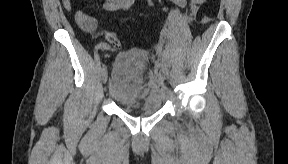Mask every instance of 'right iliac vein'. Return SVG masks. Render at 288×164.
<instances>
[{
  "instance_id": "63e3f726",
  "label": "right iliac vein",
  "mask_w": 288,
  "mask_h": 164,
  "mask_svg": "<svg viewBox=\"0 0 288 164\" xmlns=\"http://www.w3.org/2000/svg\"><path fill=\"white\" fill-rule=\"evenodd\" d=\"M101 79L104 84L107 82V79H108L107 68L105 65H103L101 69Z\"/></svg>"
}]
</instances>
